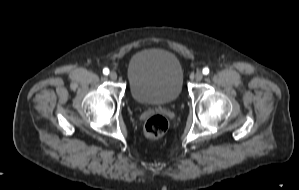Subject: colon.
Wrapping results in <instances>:
<instances>
[{"mask_svg":"<svg viewBox=\"0 0 299 190\" xmlns=\"http://www.w3.org/2000/svg\"><path fill=\"white\" fill-rule=\"evenodd\" d=\"M168 130V122L161 115L150 117L144 125L145 136L149 139L156 140L165 135Z\"/></svg>","mask_w":299,"mask_h":190,"instance_id":"obj_1","label":"colon"}]
</instances>
